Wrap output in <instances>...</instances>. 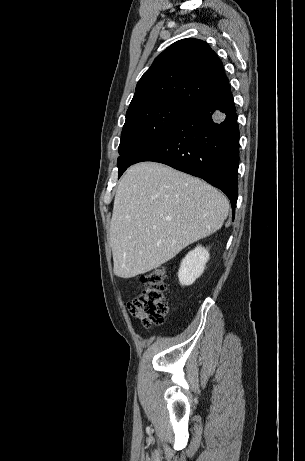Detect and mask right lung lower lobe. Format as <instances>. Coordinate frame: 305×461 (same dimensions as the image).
Segmentation results:
<instances>
[{"instance_id":"obj_1","label":"right lung lower lobe","mask_w":305,"mask_h":461,"mask_svg":"<svg viewBox=\"0 0 305 461\" xmlns=\"http://www.w3.org/2000/svg\"><path fill=\"white\" fill-rule=\"evenodd\" d=\"M141 161L164 163L204 179L227 195L234 210L239 128L229 83L190 105L170 131L132 164Z\"/></svg>"}]
</instances>
